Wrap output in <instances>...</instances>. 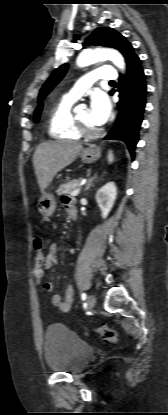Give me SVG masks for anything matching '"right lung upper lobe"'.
Listing matches in <instances>:
<instances>
[{"instance_id": "cb5924a9", "label": "right lung upper lobe", "mask_w": 168, "mask_h": 415, "mask_svg": "<svg viewBox=\"0 0 168 415\" xmlns=\"http://www.w3.org/2000/svg\"><path fill=\"white\" fill-rule=\"evenodd\" d=\"M41 110H42V104H40V105L38 106V108H37V109H36V111H35V114H36V113L41 112Z\"/></svg>"}]
</instances>
